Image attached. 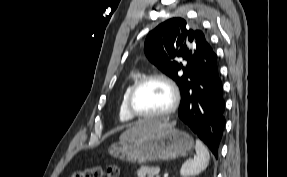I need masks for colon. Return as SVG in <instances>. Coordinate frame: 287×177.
<instances>
[{
  "label": "colon",
  "instance_id": "colon-1",
  "mask_svg": "<svg viewBox=\"0 0 287 177\" xmlns=\"http://www.w3.org/2000/svg\"><path fill=\"white\" fill-rule=\"evenodd\" d=\"M119 175V169L114 165H93L73 171L70 177H119Z\"/></svg>",
  "mask_w": 287,
  "mask_h": 177
}]
</instances>
